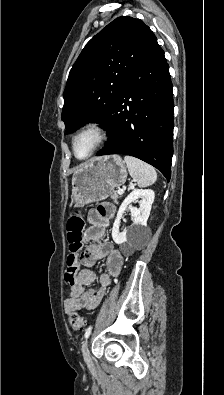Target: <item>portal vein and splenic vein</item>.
<instances>
[{"mask_svg": "<svg viewBox=\"0 0 224 395\" xmlns=\"http://www.w3.org/2000/svg\"><path fill=\"white\" fill-rule=\"evenodd\" d=\"M123 193H124V190H123V189H119V190H118V194H119V195H122Z\"/></svg>", "mask_w": 224, "mask_h": 395, "instance_id": "portal-vein-and-splenic-vein-1", "label": "portal vein and splenic vein"}]
</instances>
